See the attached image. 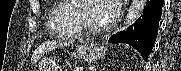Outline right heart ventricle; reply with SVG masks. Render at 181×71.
I'll use <instances>...</instances> for the list:
<instances>
[{"instance_id":"right-heart-ventricle-1","label":"right heart ventricle","mask_w":181,"mask_h":71,"mask_svg":"<svg viewBox=\"0 0 181 71\" xmlns=\"http://www.w3.org/2000/svg\"><path fill=\"white\" fill-rule=\"evenodd\" d=\"M47 27L56 35L63 37H76L80 35L73 20L71 1H55L49 8Z\"/></svg>"}]
</instances>
